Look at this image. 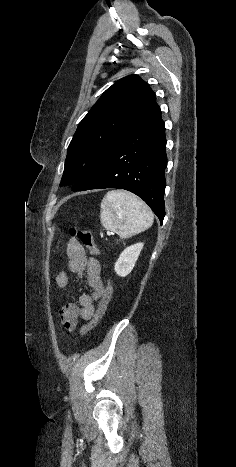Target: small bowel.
I'll use <instances>...</instances> for the list:
<instances>
[{
    "mask_svg": "<svg viewBox=\"0 0 236 467\" xmlns=\"http://www.w3.org/2000/svg\"><path fill=\"white\" fill-rule=\"evenodd\" d=\"M68 270L81 278L87 275L89 286L93 289L92 294H81L77 303H68L60 311V321L63 327L72 331L78 318L90 320L95 313V301L103 297L108 287H104L101 279V265L94 257H88L84 248L72 239L67 244ZM56 283L63 291L69 290V277L65 271L56 276Z\"/></svg>",
    "mask_w": 236,
    "mask_h": 467,
    "instance_id": "small-bowel-1",
    "label": "small bowel"
}]
</instances>
